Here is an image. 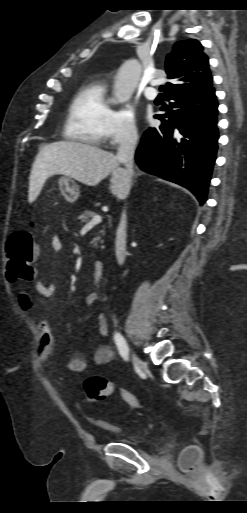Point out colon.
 <instances>
[{
	"instance_id": "1",
	"label": "colon",
	"mask_w": 247,
	"mask_h": 513,
	"mask_svg": "<svg viewBox=\"0 0 247 513\" xmlns=\"http://www.w3.org/2000/svg\"><path fill=\"white\" fill-rule=\"evenodd\" d=\"M35 242L33 229L28 227L15 232L9 238L7 244V275L11 281L29 280L34 275ZM87 399L91 403H102L114 393H118L121 399L131 408L140 409L141 403L138 397L131 391L118 388L114 383L101 375L88 377L84 382ZM198 462L195 450H190L181 455L180 467L185 472L192 471Z\"/></svg>"
}]
</instances>
